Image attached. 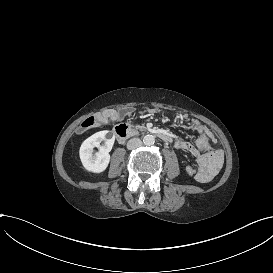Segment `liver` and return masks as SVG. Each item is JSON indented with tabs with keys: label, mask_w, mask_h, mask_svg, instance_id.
Wrapping results in <instances>:
<instances>
[{
	"label": "liver",
	"mask_w": 273,
	"mask_h": 273,
	"mask_svg": "<svg viewBox=\"0 0 273 273\" xmlns=\"http://www.w3.org/2000/svg\"><path fill=\"white\" fill-rule=\"evenodd\" d=\"M110 112H111L110 110L104 112V113H103V116L99 115V116L96 118V120H97L98 122H100V123H103V118L108 117V116H109L108 114H110Z\"/></svg>",
	"instance_id": "liver-1"
}]
</instances>
